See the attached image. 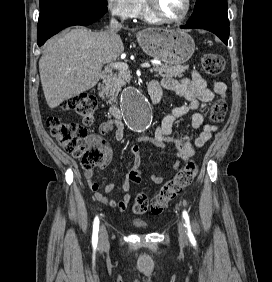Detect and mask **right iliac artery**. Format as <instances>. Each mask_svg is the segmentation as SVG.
Instances as JSON below:
<instances>
[{
    "mask_svg": "<svg viewBox=\"0 0 272 282\" xmlns=\"http://www.w3.org/2000/svg\"><path fill=\"white\" fill-rule=\"evenodd\" d=\"M98 231H99V218L95 217L94 223H93V234H92V244L95 248L98 243Z\"/></svg>",
    "mask_w": 272,
    "mask_h": 282,
    "instance_id": "1",
    "label": "right iliac artery"
}]
</instances>
